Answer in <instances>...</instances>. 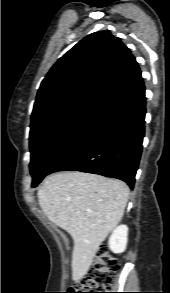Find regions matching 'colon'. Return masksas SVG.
I'll use <instances>...</instances> for the list:
<instances>
[{
    "label": "colon",
    "instance_id": "5ec220e1",
    "mask_svg": "<svg viewBox=\"0 0 170 293\" xmlns=\"http://www.w3.org/2000/svg\"><path fill=\"white\" fill-rule=\"evenodd\" d=\"M116 259L108 249L101 247L96 251L95 257L88 269L86 276L77 281L71 293H107V289L115 281Z\"/></svg>",
    "mask_w": 170,
    "mask_h": 293
}]
</instances>
